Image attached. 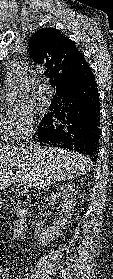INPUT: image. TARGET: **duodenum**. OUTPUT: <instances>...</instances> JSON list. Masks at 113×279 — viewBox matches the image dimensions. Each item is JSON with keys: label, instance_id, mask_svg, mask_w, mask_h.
Here are the masks:
<instances>
[{"label": "duodenum", "instance_id": "410a0bca", "mask_svg": "<svg viewBox=\"0 0 113 279\" xmlns=\"http://www.w3.org/2000/svg\"><path fill=\"white\" fill-rule=\"evenodd\" d=\"M29 212L26 208H20L16 213V221L13 228V237L17 240L22 239L28 228Z\"/></svg>", "mask_w": 113, "mask_h": 279}]
</instances>
